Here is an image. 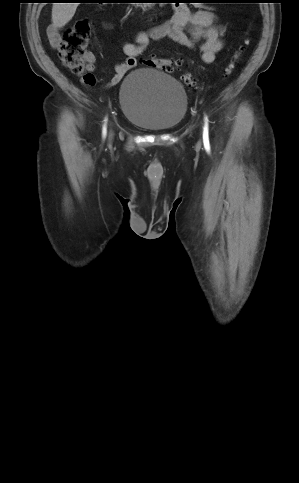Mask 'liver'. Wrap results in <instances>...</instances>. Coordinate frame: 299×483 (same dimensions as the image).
<instances>
[{
  "label": "liver",
  "instance_id": "1",
  "mask_svg": "<svg viewBox=\"0 0 299 483\" xmlns=\"http://www.w3.org/2000/svg\"><path fill=\"white\" fill-rule=\"evenodd\" d=\"M78 3H53L52 21L57 27L65 26L74 16Z\"/></svg>",
  "mask_w": 299,
  "mask_h": 483
}]
</instances>
